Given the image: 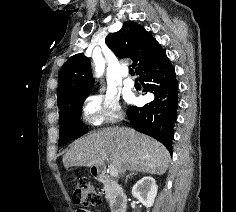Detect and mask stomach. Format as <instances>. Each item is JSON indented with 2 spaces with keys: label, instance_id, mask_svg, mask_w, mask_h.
Masks as SVG:
<instances>
[{
  "label": "stomach",
  "instance_id": "stomach-1",
  "mask_svg": "<svg viewBox=\"0 0 236 212\" xmlns=\"http://www.w3.org/2000/svg\"><path fill=\"white\" fill-rule=\"evenodd\" d=\"M97 174V169L93 171V175H96Z\"/></svg>",
  "mask_w": 236,
  "mask_h": 212
}]
</instances>
